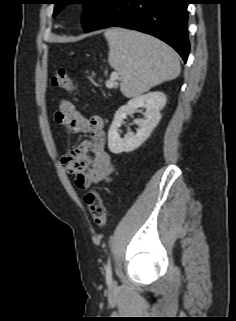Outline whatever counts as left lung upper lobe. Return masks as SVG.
<instances>
[{
	"instance_id": "obj_1",
	"label": "left lung upper lobe",
	"mask_w": 236,
	"mask_h": 321,
	"mask_svg": "<svg viewBox=\"0 0 236 321\" xmlns=\"http://www.w3.org/2000/svg\"><path fill=\"white\" fill-rule=\"evenodd\" d=\"M76 1V2H71ZM55 6L54 16L57 15L60 8L64 4L80 3L85 5L84 18L82 19V27L86 28L88 24L108 5L110 0H54Z\"/></svg>"
}]
</instances>
